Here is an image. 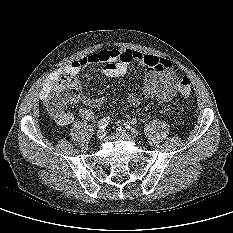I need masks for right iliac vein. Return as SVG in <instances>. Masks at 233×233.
<instances>
[{"instance_id":"obj_1","label":"right iliac vein","mask_w":233,"mask_h":233,"mask_svg":"<svg viewBox=\"0 0 233 233\" xmlns=\"http://www.w3.org/2000/svg\"><path fill=\"white\" fill-rule=\"evenodd\" d=\"M96 136H97V138L98 139H103L104 138V136H105V130L104 129H99L98 131H97V133H96Z\"/></svg>"}]
</instances>
